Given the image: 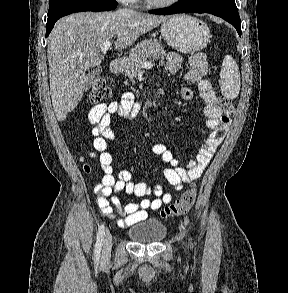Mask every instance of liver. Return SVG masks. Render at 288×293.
<instances>
[{
    "instance_id": "6515ba94",
    "label": "liver",
    "mask_w": 288,
    "mask_h": 293,
    "mask_svg": "<svg viewBox=\"0 0 288 293\" xmlns=\"http://www.w3.org/2000/svg\"><path fill=\"white\" fill-rule=\"evenodd\" d=\"M168 18L119 9L76 13L57 21L47 47L50 94L57 120H65L81 101L86 71L101 64V46L106 41L116 36L115 49H125Z\"/></svg>"
}]
</instances>
